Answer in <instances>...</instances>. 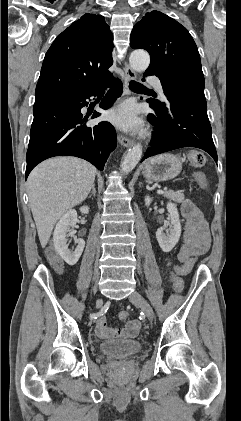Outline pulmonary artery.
I'll return each instance as SVG.
<instances>
[{
	"label": "pulmonary artery",
	"mask_w": 241,
	"mask_h": 421,
	"mask_svg": "<svg viewBox=\"0 0 241 421\" xmlns=\"http://www.w3.org/2000/svg\"><path fill=\"white\" fill-rule=\"evenodd\" d=\"M148 83H150L160 94H163V86L158 78L150 77L148 78Z\"/></svg>",
	"instance_id": "1"
}]
</instances>
